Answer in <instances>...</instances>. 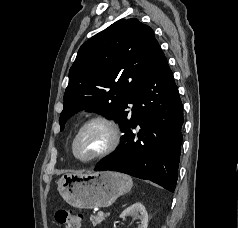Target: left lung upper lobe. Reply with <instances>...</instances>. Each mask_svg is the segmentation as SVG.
Instances as JSON below:
<instances>
[{
	"label": "left lung upper lobe",
	"instance_id": "left-lung-upper-lobe-1",
	"mask_svg": "<svg viewBox=\"0 0 238 228\" xmlns=\"http://www.w3.org/2000/svg\"><path fill=\"white\" fill-rule=\"evenodd\" d=\"M159 49L153 30L136 18L121 19L86 41L69 71L61 130L67 119L85 108L121 126Z\"/></svg>",
	"mask_w": 238,
	"mask_h": 228
}]
</instances>
